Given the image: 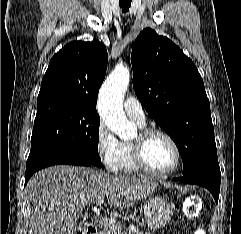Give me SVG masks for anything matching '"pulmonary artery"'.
<instances>
[{"label": "pulmonary artery", "instance_id": "1", "mask_svg": "<svg viewBox=\"0 0 241 234\" xmlns=\"http://www.w3.org/2000/svg\"><path fill=\"white\" fill-rule=\"evenodd\" d=\"M124 109L127 115L139 125H145L146 118L141 103L136 97L128 96L124 101Z\"/></svg>", "mask_w": 241, "mask_h": 234}]
</instances>
